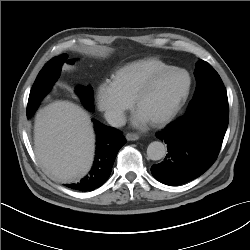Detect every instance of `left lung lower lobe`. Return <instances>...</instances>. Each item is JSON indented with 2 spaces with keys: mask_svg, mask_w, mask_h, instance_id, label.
<instances>
[{
  "mask_svg": "<svg viewBox=\"0 0 250 250\" xmlns=\"http://www.w3.org/2000/svg\"><path fill=\"white\" fill-rule=\"evenodd\" d=\"M226 89L219 88L189 104L182 117L156 135L167 144L168 153L151 167L160 182L174 186L191 181L215 162L228 126Z\"/></svg>",
  "mask_w": 250,
  "mask_h": 250,
  "instance_id": "1",
  "label": "left lung lower lobe"
}]
</instances>
